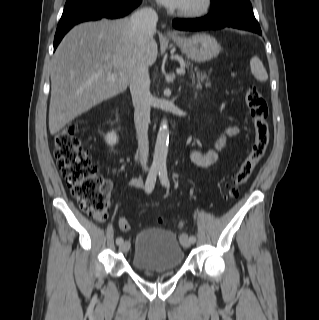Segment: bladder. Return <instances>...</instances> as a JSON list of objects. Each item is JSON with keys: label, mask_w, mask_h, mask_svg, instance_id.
Segmentation results:
<instances>
[{"label": "bladder", "mask_w": 319, "mask_h": 320, "mask_svg": "<svg viewBox=\"0 0 319 320\" xmlns=\"http://www.w3.org/2000/svg\"><path fill=\"white\" fill-rule=\"evenodd\" d=\"M185 252L176 235L163 228L137 233L131 255L134 270H175L183 265Z\"/></svg>", "instance_id": "bladder-1"}]
</instances>
